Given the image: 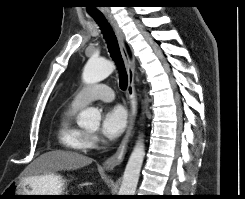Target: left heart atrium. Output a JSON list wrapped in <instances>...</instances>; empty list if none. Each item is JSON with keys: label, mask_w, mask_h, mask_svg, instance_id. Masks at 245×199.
Wrapping results in <instances>:
<instances>
[{"label": "left heart atrium", "mask_w": 245, "mask_h": 199, "mask_svg": "<svg viewBox=\"0 0 245 199\" xmlns=\"http://www.w3.org/2000/svg\"><path fill=\"white\" fill-rule=\"evenodd\" d=\"M127 114L123 107L116 105L105 110L101 122V133L104 137L114 140L124 131Z\"/></svg>", "instance_id": "obj_1"}]
</instances>
